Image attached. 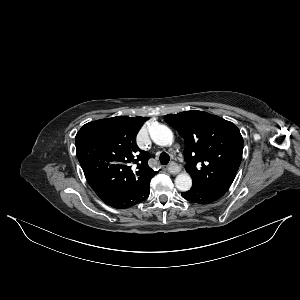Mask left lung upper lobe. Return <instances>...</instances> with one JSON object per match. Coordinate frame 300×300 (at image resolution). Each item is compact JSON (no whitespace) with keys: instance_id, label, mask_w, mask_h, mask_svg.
<instances>
[{"instance_id":"left-lung-upper-lobe-1","label":"left lung upper lobe","mask_w":300,"mask_h":300,"mask_svg":"<svg viewBox=\"0 0 300 300\" xmlns=\"http://www.w3.org/2000/svg\"><path fill=\"white\" fill-rule=\"evenodd\" d=\"M185 141L186 170L194 187L225 193L240 166L243 138L221 117L191 110L164 116Z\"/></svg>"}]
</instances>
